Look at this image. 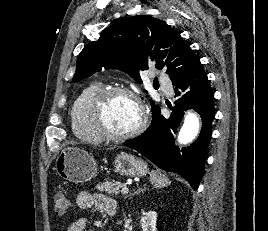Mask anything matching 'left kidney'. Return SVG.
I'll use <instances>...</instances> for the list:
<instances>
[{
	"label": "left kidney",
	"instance_id": "obj_1",
	"mask_svg": "<svg viewBox=\"0 0 268 231\" xmlns=\"http://www.w3.org/2000/svg\"><path fill=\"white\" fill-rule=\"evenodd\" d=\"M156 222L157 213L155 211L144 213L141 218L142 231H157Z\"/></svg>",
	"mask_w": 268,
	"mask_h": 231
}]
</instances>
